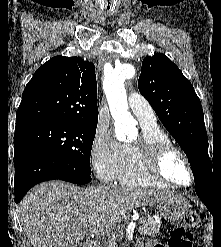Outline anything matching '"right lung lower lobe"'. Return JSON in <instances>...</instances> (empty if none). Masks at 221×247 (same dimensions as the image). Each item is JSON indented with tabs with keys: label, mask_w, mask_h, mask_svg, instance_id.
<instances>
[{
	"label": "right lung lower lobe",
	"mask_w": 221,
	"mask_h": 247,
	"mask_svg": "<svg viewBox=\"0 0 221 247\" xmlns=\"http://www.w3.org/2000/svg\"><path fill=\"white\" fill-rule=\"evenodd\" d=\"M15 202L18 203L34 185L48 180H64L75 184L91 181V175L78 171L50 152L30 143L14 142Z\"/></svg>",
	"instance_id": "1"
}]
</instances>
